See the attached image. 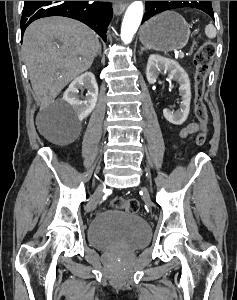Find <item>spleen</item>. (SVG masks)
Masks as SVG:
<instances>
[{"label": "spleen", "mask_w": 237, "mask_h": 300, "mask_svg": "<svg viewBox=\"0 0 237 300\" xmlns=\"http://www.w3.org/2000/svg\"><path fill=\"white\" fill-rule=\"evenodd\" d=\"M205 35L206 37H209V39H214V37H216V29L214 25H206Z\"/></svg>", "instance_id": "3e777b00"}]
</instances>
